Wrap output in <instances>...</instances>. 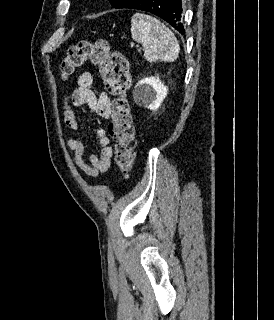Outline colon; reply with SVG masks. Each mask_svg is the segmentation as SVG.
<instances>
[{"label":"colon","instance_id":"obj_1","mask_svg":"<svg viewBox=\"0 0 274 320\" xmlns=\"http://www.w3.org/2000/svg\"><path fill=\"white\" fill-rule=\"evenodd\" d=\"M100 69L108 92L114 97L111 137L115 142V160L123 173L132 170L135 158V127L129 110L127 91L131 85L129 64L125 56L112 51L105 40L81 43L68 48L61 58L59 70L63 77H71L84 64Z\"/></svg>","mask_w":274,"mask_h":320}]
</instances>
